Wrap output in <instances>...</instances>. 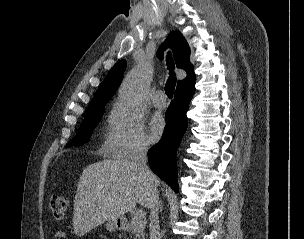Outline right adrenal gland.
Segmentation results:
<instances>
[{
	"mask_svg": "<svg viewBox=\"0 0 304 239\" xmlns=\"http://www.w3.org/2000/svg\"><path fill=\"white\" fill-rule=\"evenodd\" d=\"M160 210L162 211V202H160Z\"/></svg>",
	"mask_w": 304,
	"mask_h": 239,
	"instance_id": "obj_1",
	"label": "right adrenal gland"
}]
</instances>
